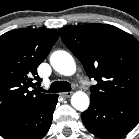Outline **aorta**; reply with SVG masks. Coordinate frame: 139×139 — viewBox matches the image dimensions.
Returning <instances> with one entry per match:
<instances>
[{
	"instance_id": "aorta-1",
	"label": "aorta",
	"mask_w": 139,
	"mask_h": 139,
	"mask_svg": "<svg viewBox=\"0 0 139 139\" xmlns=\"http://www.w3.org/2000/svg\"><path fill=\"white\" fill-rule=\"evenodd\" d=\"M50 63L55 71L64 76H71L76 71L73 57L63 50L53 52L50 57ZM71 104L76 110L85 111L89 107L90 100L86 93L78 91L72 95Z\"/></svg>"
}]
</instances>
